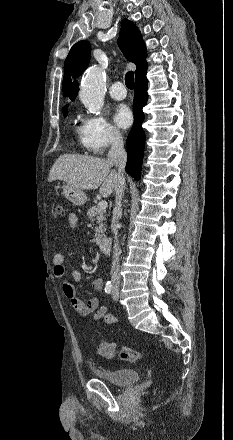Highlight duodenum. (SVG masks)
Here are the masks:
<instances>
[{"label": "duodenum", "instance_id": "duodenum-1", "mask_svg": "<svg viewBox=\"0 0 233 440\" xmlns=\"http://www.w3.org/2000/svg\"><path fill=\"white\" fill-rule=\"evenodd\" d=\"M99 247L101 251L108 252L111 247V239L110 238L99 239Z\"/></svg>", "mask_w": 233, "mask_h": 440}]
</instances>
